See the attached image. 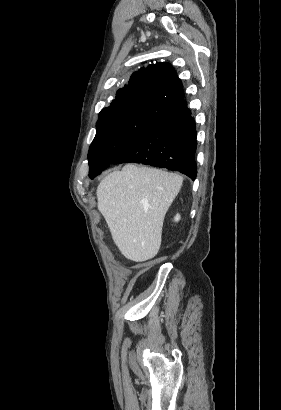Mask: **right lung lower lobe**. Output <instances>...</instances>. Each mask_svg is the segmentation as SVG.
Masks as SVG:
<instances>
[{"instance_id":"1","label":"right lung lower lobe","mask_w":281,"mask_h":410,"mask_svg":"<svg viewBox=\"0 0 281 410\" xmlns=\"http://www.w3.org/2000/svg\"><path fill=\"white\" fill-rule=\"evenodd\" d=\"M197 132L186 101L170 107L112 164L141 163L179 171L192 180L197 175Z\"/></svg>"}]
</instances>
